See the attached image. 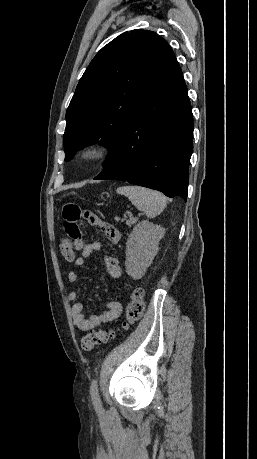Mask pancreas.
I'll return each instance as SVG.
<instances>
[{
	"instance_id": "cf45deb5",
	"label": "pancreas",
	"mask_w": 257,
	"mask_h": 459,
	"mask_svg": "<svg viewBox=\"0 0 257 459\" xmlns=\"http://www.w3.org/2000/svg\"><path fill=\"white\" fill-rule=\"evenodd\" d=\"M115 219H116L117 221L119 220V218H118V217H116Z\"/></svg>"
}]
</instances>
